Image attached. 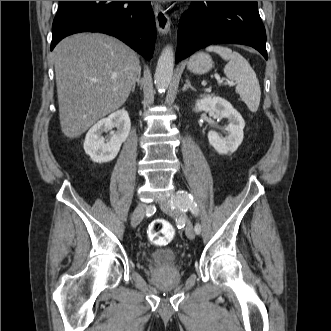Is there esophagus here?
Masks as SVG:
<instances>
[{
	"instance_id": "1",
	"label": "esophagus",
	"mask_w": 331,
	"mask_h": 331,
	"mask_svg": "<svg viewBox=\"0 0 331 331\" xmlns=\"http://www.w3.org/2000/svg\"><path fill=\"white\" fill-rule=\"evenodd\" d=\"M154 13L158 31L163 35L167 34L171 25L169 16L158 3H154Z\"/></svg>"
}]
</instances>
